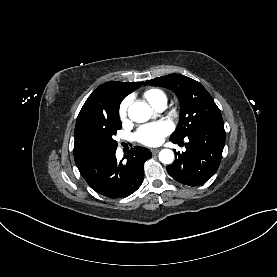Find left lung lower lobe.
I'll return each instance as SVG.
<instances>
[{
  "instance_id": "obj_1",
  "label": "left lung lower lobe",
  "mask_w": 277,
  "mask_h": 277,
  "mask_svg": "<svg viewBox=\"0 0 277 277\" xmlns=\"http://www.w3.org/2000/svg\"><path fill=\"white\" fill-rule=\"evenodd\" d=\"M188 139L186 151L182 154L175 153L178 157L173 164L167 166V171L182 184L199 186L209 180L219 167L225 145L223 120L200 126Z\"/></svg>"
}]
</instances>
